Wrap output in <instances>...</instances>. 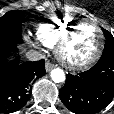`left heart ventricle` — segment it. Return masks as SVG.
<instances>
[{"label":"left heart ventricle","instance_id":"1","mask_svg":"<svg viewBox=\"0 0 114 114\" xmlns=\"http://www.w3.org/2000/svg\"><path fill=\"white\" fill-rule=\"evenodd\" d=\"M98 34L92 24L81 25L70 41L66 55L74 61H81L88 58L96 49Z\"/></svg>","mask_w":114,"mask_h":114}]
</instances>
